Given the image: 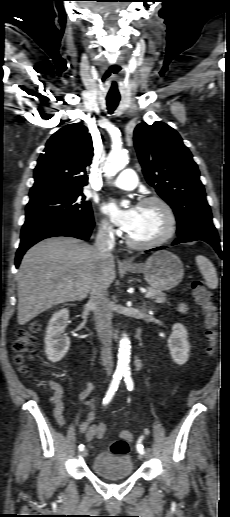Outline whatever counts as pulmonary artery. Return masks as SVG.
Here are the masks:
<instances>
[{"mask_svg":"<svg viewBox=\"0 0 230 517\" xmlns=\"http://www.w3.org/2000/svg\"><path fill=\"white\" fill-rule=\"evenodd\" d=\"M112 186L124 190H132L137 185V176L134 170L125 169L111 183Z\"/></svg>","mask_w":230,"mask_h":517,"instance_id":"e3ab8cb5","label":"pulmonary artery"}]
</instances>
